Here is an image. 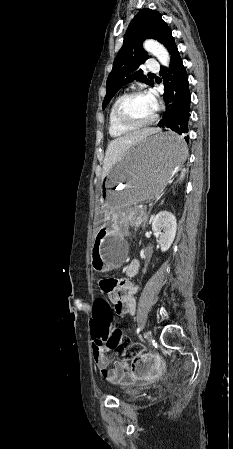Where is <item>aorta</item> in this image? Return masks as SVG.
<instances>
[{
	"mask_svg": "<svg viewBox=\"0 0 233 449\" xmlns=\"http://www.w3.org/2000/svg\"><path fill=\"white\" fill-rule=\"evenodd\" d=\"M144 49L148 52L154 55L163 66L169 65L170 62V56L166 48L154 40H147L144 43Z\"/></svg>",
	"mask_w": 233,
	"mask_h": 449,
	"instance_id": "aorta-1",
	"label": "aorta"
}]
</instances>
